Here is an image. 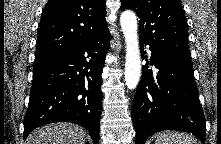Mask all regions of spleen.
Returning <instances> with one entry per match:
<instances>
[{"label": "spleen", "mask_w": 221, "mask_h": 144, "mask_svg": "<svg viewBox=\"0 0 221 144\" xmlns=\"http://www.w3.org/2000/svg\"><path fill=\"white\" fill-rule=\"evenodd\" d=\"M156 144H197V141L192 135L178 132L165 131L157 135Z\"/></svg>", "instance_id": "1"}]
</instances>
